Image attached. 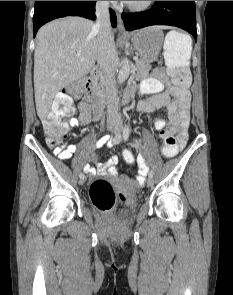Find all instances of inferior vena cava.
Wrapping results in <instances>:
<instances>
[{
    "instance_id": "602c4592",
    "label": "inferior vena cava",
    "mask_w": 233,
    "mask_h": 295,
    "mask_svg": "<svg viewBox=\"0 0 233 295\" xmlns=\"http://www.w3.org/2000/svg\"><path fill=\"white\" fill-rule=\"evenodd\" d=\"M109 1H97L95 28L98 31V64L103 73L105 102L109 117L119 118L117 91L115 82V62L117 52L111 33Z\"/></svg>"
}]
</instances>
